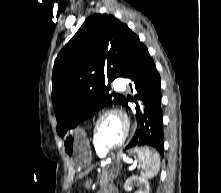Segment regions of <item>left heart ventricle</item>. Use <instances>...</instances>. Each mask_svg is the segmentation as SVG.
<instances>
[{"label": "left heart ventricle", "instance_id": "1", "mask_svg": "<svg viewBox=\"0 0 221 193\" xmlns=\"http://www.w3.org/2000/svg\"><path fill=\"white\" fill-rule=\"evenodd\" d=\"M124 124L121 119L115 115L104 117L97 128L99 141L106 146L117 144L122 138Z\"/></svg>", "mask_w": 221, "mask_h": 193}]
</instances>
